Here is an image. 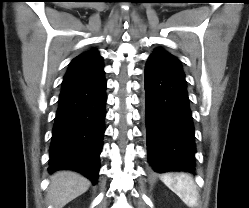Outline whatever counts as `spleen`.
<instances>
[{"label":"spleen","mask_w":249,"mask_h":208,"mask_svg":"<svg viewBox=\"0 0 249 208\" xmlns=\"http://www.w3.org/2000/svg\"><path fill=\"white\" fill-rule=\"evenodd\" d=\"M161 179L186 205L189 207L197 205L198 192L190 176L166 174Z\"/></svg>","instance_id":"3e777b00"}]
</instances>
